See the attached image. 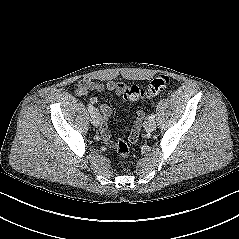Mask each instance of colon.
Here are the masks:
<instances>
[{"label":"colon","instance_id":"5ec220e1","mask_svg":"<svg viewBox=\"0 0 239 239\" xmlns=\"http://www.w3.org/2000/svg\"><path fill=\"white\" fill-rule=\"evenodd\" d=\"M170 79L166 75H160L152 79L147 86L129 85L124 88L123 98L126 101H136L143 98H151L158 95L169 85ZM135 132H138V123L135 124ZM117 153L122 158H127L130 153L128 144L123 139H118L115 144Z\"/></svg>","mask_w":239,"mask_h":239}]
</instances>
